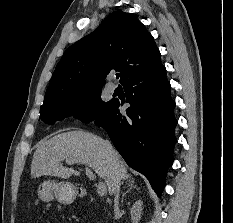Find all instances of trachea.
<instances>
[{"label": "trachea", "instance_id": "1", "mask_svg": "<svg viewBox=\"0 0 233 223\" xmlns=\"http://www.w3.org/2000/svg\"><path fill=\"white\" fill-rule=\"evenodd\" d=\"M119 76H120L119 73H117V74H116V78H119Z\"/></svg>", "mask_w": 233, "mask_h": 223}]
</instances>
